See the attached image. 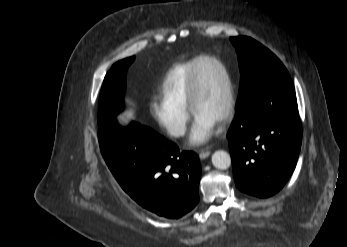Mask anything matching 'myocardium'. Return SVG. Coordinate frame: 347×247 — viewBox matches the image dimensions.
<instances>
[{"label": "myocardium", "mask_w": 347, "mask_h": 247, "mask_svg": "<svg viewBox=\"0 0 347 247\" xmlns=\"http://www.w3.org/2000/svg\"><path fill=\"white\" fill-rule=\"evenodd\" d=\"M213 62L222 70L225 80H226V89H227V99L224 111L219 118V123H225L231 119L235 109V88L234 83L231 77L229 70L226 65L218 58L213 56H203L200 57L199 61L194 65L191 71L189 87H188V108L190 112L195 116L196 115V104L199 96V69L203 62Z\"/></svg>", "instance_id": "myocardium-1"}]
</instances>
